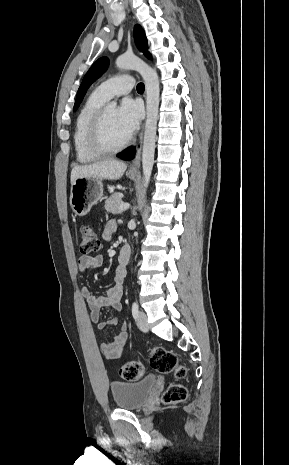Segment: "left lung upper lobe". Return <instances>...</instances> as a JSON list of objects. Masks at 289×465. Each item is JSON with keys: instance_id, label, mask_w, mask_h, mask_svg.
<instances>
[{"instance_id": "obj_1", "label": "left lung upper lobe", "mask_w": 289, "mask_h": 465, "mask_svg": "<svg viewBox=\"0 0 289 465\" xmlns=\"http://www.w3.org/2000/svg\"><path fill=\"white\" fill-rule=\"evenodd\" d=\"M134 38L135 43L140 51L144 52L147 57L150 58L149 52H147L148 44L147 39L145 36L144 31L142 30L141 26L136 25L134 28ZM109 65V60L107 57L99 58L89 69L87 74L85 75L79 89L77 92V97L74 105V110H76L81 103L88 87L98 78L100 77L106 70Z\"/></svg>"}]
</instances>
